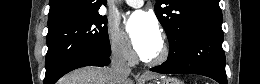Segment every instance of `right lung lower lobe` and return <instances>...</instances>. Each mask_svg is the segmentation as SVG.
Wrapping results in <instances>:
<instances>
[{
  "mask_svg": "<svg viewBox=\"0 0 260 84\" xmlns=\"http://www.w3.org/2000/svg\"><path fill=\"white\" fill-rule=\"evenodd\" d=\"M110 58L95 54H85L73 57L64 62L52 75L45 76L44 84H55L66 73L84 66H106Z\"/></svg>",
  "mask_w": 260,
  "mask_h": 84,
  "instance_id": "98d812e1",
  "label": "right lung lower lobe"
}]
</instances>
